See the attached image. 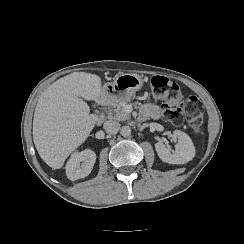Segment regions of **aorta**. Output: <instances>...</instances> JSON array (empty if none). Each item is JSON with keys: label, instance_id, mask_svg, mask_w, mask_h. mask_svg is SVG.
I'll list each match as a JSON object with an SVG mask.
<instances>
[{"label": "aorta", "instance_id": "1", "mask_svg": "<svg viewBox=\"0 0 244 244\" xmlns=\"http://www.w3.org/2000/svg\"><path fill=\"white\" fill-rule=\"evenodd\" d=\"M120 134L124 137L131 135V128L129 126H123L120 130Z\"/></svg>", "mask_w": 244, "mask_h": 244}]
</instances>
